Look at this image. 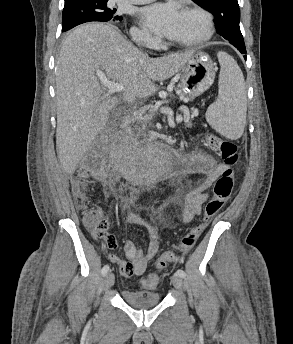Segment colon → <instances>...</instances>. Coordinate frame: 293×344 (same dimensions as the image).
Instances as JSON below:
<instances>
[{
	"label": "colon",
	"mask_w": 293,
	"mask_h": 344,
	"mask_svg": "<svg viewBox=\"0 0 293 344\" xmlns=\"http://www.w3.org/2000/svg\"><path fill=\"white\" fill-rule=\"evenodd\" d=\"M206 143L221 156L226 168L214 184L213 196L208 200L205 206L202 221L184 236L181 242L172 250L162 254L156 263V268L159 270L164 269L168 264L174 262L178 256L188 252L195 246L206 224L223 208L232 195L235 180L234 167L239 161L238 148L234 142L224 140L214 134H209L207 136ZM85 187L86 182L84 177H78L74 185V194L79 209L82 211L84 221L93 235L103 237L107 232V224L103 220L99 210L88 206ZM141 283L148 289H154L159 284L158 275L156 273H151L142 278Z\"/></svg>",
	"instance_id": "1"
}]
</instances>
